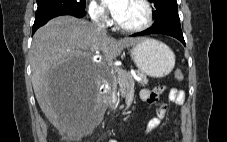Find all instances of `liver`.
Here are the masks:
<instances>
[{
  "label": "liver",
  "instance_id": "obj_1",
  "mask_svg": "<svg viewBox=\"0 0 227 142\" xmlns=\"http://www.w3.org/2000/svg\"><path fill=\"white\" fill-rule=\"evenodd\" d=\"M142 38L116 40L99 31L92 23L73 16H60L39 28L30 48L32 85L37 102L50 123L62 132L73 135L83 114L82 102L98 94L99 85L106 80L101 70L104 61L95 62L99 52L105 61L117 58L124 48ZM60 61H91L85 88H54L50 73Z\"/></svg>",
  "mask_w": 227,
  "mask_h": 142
}]
</instances>
